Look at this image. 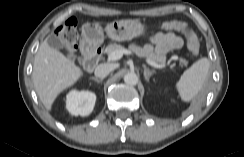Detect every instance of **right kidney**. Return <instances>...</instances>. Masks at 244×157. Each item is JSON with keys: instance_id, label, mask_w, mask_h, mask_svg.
<instances>
[{"instance_id": "right-kidney-1", "label": "right kidney", "mask_w": 244, "mask_h": 157, "mask_svg": "<svg viewBox=\"0 0 244 157\" xmlns=\"http://www.w3.org/2000/svg\"><path fill=\"white\" fill-rule=\"evenodd\" d=\"M96 95L90 91L72 90L66 99V108L75 116H87L94 108Z\"/></svg>"}]
</instances>
